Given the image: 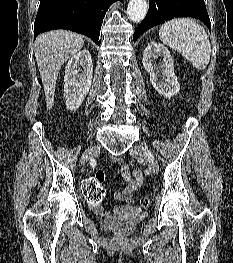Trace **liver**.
I'll return each mask as SVG.
<instances>
[{"instance_id":"liver-1","label":"liver","mask_w":233,"mask_h":263,"mask_svg":"<svg viewBox=\"0 0 233 263\" xmlns=\"http://www.w3.org/2000/svg\"><path fill=\"white\" fill-rule=\"evenodd\" d=\"M84 45L83 37L66 30H53L35 41V57L44 87L46 107L54 104L56 80L61 66Z\"/></svg>"}]
</instances>
